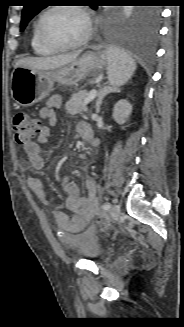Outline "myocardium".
I'll return each mask as SVG.
<instances>
[{
    "label": "myocardium",
    "instance_id": "f54148a6",
    "mask_svg": "<svg viewBox=\"0 0 184 327\" xmlns=\"http://www.w3.org/2000/svg\"><path fill=\"white\" fill-rule=\"evenodd\" d=\"M63 8L71 9V10H74V11L80 13L86 22L85 34L83 35V37L81 39H79L78 41H76L74 43L59 44V43L53 41L52 39H50L47 36L45 29H44V22H45L46 17L49 15V13H51L52 11H55L57 9H63ZM92 30H93V27H92L91 17L89 15V13L87 12V10L80 5H52V6L48 7L45 11L42 12V14L40 15V17L37 21V33H38V36H39L41 42L43 44H45L47 47H49L55 51H66V50L76 49V48L83 46L91 38Z\"/></svg>",
    "mask_w": 184,
    "mask_h": 327
}]
</instances>
